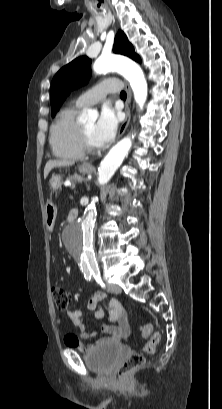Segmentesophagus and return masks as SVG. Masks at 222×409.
<instances>
[{"instance_id":"34e87169","label":"esophagus","mask_w":222,"mask_h":409,"mask_svg":"<svg viewBox=\"0 0 222 409\" xmlns=\"http://www.w3.org/2000/svg\"><path fill=\"white\" fill-rule=\"evenodd\" d=\"M125 85V89H126V93H127V99L125 102V113H126V117L124 119V121L122 122L120 128H119V132H118V136H117V140L120 139L122 137V135L125 133L129 123H130V119H131V113H130V103H131V99H132V91L130 86L128 85L127 82H124ZM85 166L87 167H91V162H86Z\"/></svg>"}]
</instances>
